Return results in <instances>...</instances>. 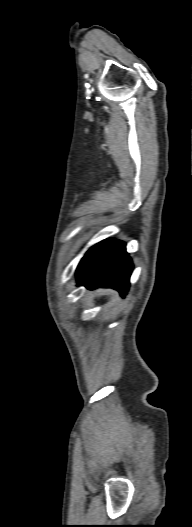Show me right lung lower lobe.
<instances>
[{
	"instance_id": "1",
	"label": "right lung lower lobe",
	"mask_w": 192,
	"mask_h": 527,
	"mask_svg": "<svg viewBox=\"0 0 192 527\" xmlns=\"http://www.w3.org/2000/svg\"><path fill=\"white\" fill-rule=\"evenodd\" d=\"M133 269L125 243L106 239L91 247L77 268L78 286L88 289L111 287L127 294Z\"/></svg>"
}]
</instances>
